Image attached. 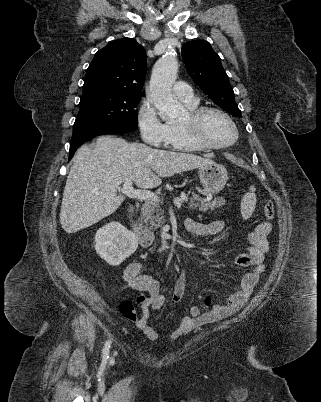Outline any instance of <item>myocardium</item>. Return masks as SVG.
<instances>
[{"label":"myocardium","mask_w":321,"mask_h":402,"mask_svg":"<svg viewBox=\"0 0 321 402\" xmlns=\"http://www.w3.org/2000/svg\"><path fill=\"white\" fill-rule=\"evenodd\" d=\"M210 112H214L221 115L232 126L234 131V138L231 141L223 144H215L208 141L202 135L201 133L202 119L205 117L206 114ZM180 125L184 130V132L187 134V136L191 139V141L203 149H212V150L225 149L233 146L239 139V130L235 121L226 111L215 106H201L196 109L189 110L186 113L185 118L180 122Z\"/></svg>","instance_id":"f54148a6"}]
</instances>
